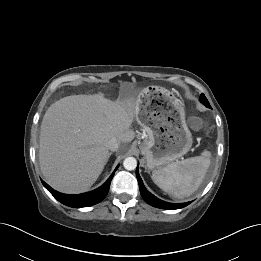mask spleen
I'll use <instances>...</instances> for the list:
<instances>
[{
    "label": "spleen",
    "instance_id": "1",
    "mask_svg": "<svg viewBox=\"0 0 261 261\" xmlns=\"http://www.w3.org/2000/svg\"><path fill=\"white\" fill-rule=\"evenodd\" d=\"M211 153L204 151L201 156L188 158L154 170L153 182L168 194L184 198L192 195L202 183L211 163Z\"/></svg>",
    "mask_w": 261,
    "mask_h": 261
}]
</instances>
